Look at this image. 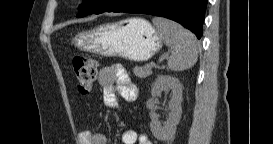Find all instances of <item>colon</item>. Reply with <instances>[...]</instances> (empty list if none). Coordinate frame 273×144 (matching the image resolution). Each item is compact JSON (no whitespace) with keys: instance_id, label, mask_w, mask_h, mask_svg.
Here are the masks:
<instances>
[{"instance_id":"colon-1","label":"colon","mask_w":273,"mask_h":144,"mask_svg":"<svg viewBox=\"0 0 273 144\" xmlns=\"http://www.w3.org/2000/svg\"><path fill=\"white\" fill-rule=\"evenodd\" d=\"M73 69L79 92L81 94L89 93L97 76L96 62L84 56H76L73 59Z\"/></svg>"}]
</instances>
